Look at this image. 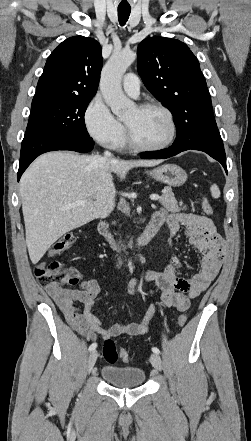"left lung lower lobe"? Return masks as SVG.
<instances>
[{"label":"left lung lower lobe","instance_id":"left-lung-lower-lobe-1","mask_svg":"<svg viewBox=\"0 0 251 441\" xmlns=\"http://www.w3.org/2000/svg\"><path fill=\"white\" fill-rule=\"evenodd\" d=\"M199 150L219 161L227 172L226 155L214 116L200 115L177 129V137L171 147L156 153L142 155V159H164L186 150Z\"/></svg>","mask_w":251,"mask_h":441}]
</instances>
